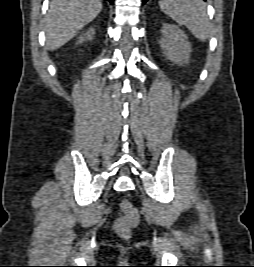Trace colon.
Segmentation results:
<instances>
[{"label": "colon", "instance_id": "1", "mask_svg": "<svg viewBox=\"0 0 254 267\" xmlns=\"http://www.w3.org/2000/svg\"><path fill=\"white\" fill-rule=\"evenodd\" d=\"M122 216L118 217L114 222V230L122 238H128L131 229L139 222V214L137 209L128 200H122L121 204Z\"/></svg>", "mask_w": 254, "mask_h": 267}]
</instances>
